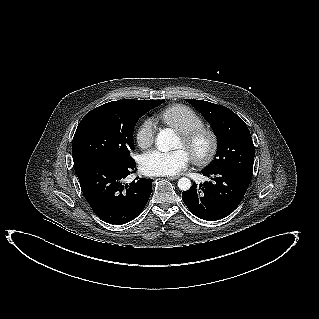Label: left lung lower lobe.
<instances>
[{
	"instance_id": "1",
	"label": "left lung lower lobe",
	"mask_w": 319,
	"mask_h": 319,
	"mask_svg": "<svg viewBox=\"0 0 319 319\" xmlns=\"http://www.w3.org/2000/svg\"><path fill=\"white\" fill-rule=\"evenodd\" d=\"M202 174L213 182L194 183L182 193V199L195 216L208 221L230 215L242 201L252 178L233 169H203Z\"/></svg>"
}]
</instances>
